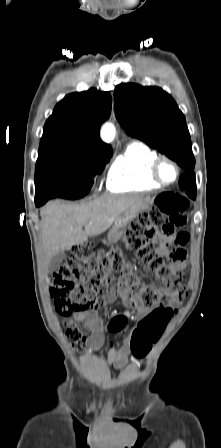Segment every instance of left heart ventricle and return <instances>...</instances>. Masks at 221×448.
I'll list each match as a JSON object with an SVG mask.
<instances>
[{
	"label": "left heart ventricle",
	"mask_w": 221,
	"mask_h": 448,
	"mask_svg": "<svg viewBox=\"0 0 221 448\" xmlns=\"http://www.w3.org/2000/svg\"><path fill=\"white\" fill-rule=\"evenodd\" d=\"M160 174L165 181H172L175 177V170L169 163L164 162L161 165Z\"/></svg>",
	"instance_id": "1"
}]
</instances>
